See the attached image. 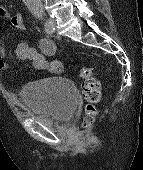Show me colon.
<instances>
[{
  "label": "colon",
  "mask_w": 143,
  "mask_h": 170,
  "mask_svg": "<svg viewBox=\"0 0 143 170\" xmlns=\"http://www.w3.org/2000/svg\"><path fill=\"white\" fill-rule=\"evenodd\" d=\"M56 71L62 70V64L55 67ZM80 77L83 80L82 90L85 100L87 101L86 122L90 123L96 113L95 105L101 97L100 82L92 75V71L88 67H84L80 71Z\"/></svg>",
  "instance_id": "5ec220e1"
}]
</instances>
